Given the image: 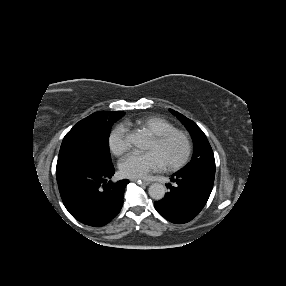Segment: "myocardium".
<instances>
[{"mask_svg":"<svg viewBox=\"0 0 286 286\" xmlns=\"http://www.w3.org/2000/svg\"><path fill=\"white\" fill-rule=\"evenodd\" d=\"M174 135H182L186 139L187 150L184 156L179 161L172 163L170 165H167V166H163L164 169L168 171H175V170L182 168L184 165H186L192 156L193 148H194L191 135L188 132L181 130V129H175V130L164 132L162 134L154 136L153 139L156 143H164Z\"/></svg>","mask_w":286,"mask_h":286,"instance_id":"1","label":"myocardium"}]
</instances>
